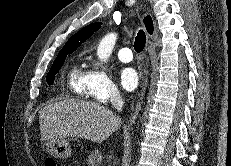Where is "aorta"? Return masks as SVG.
I'll list each match as a JSON object with an SVG mask.
<instances>
[{
    "label": "aorta",
    "instance_id": "1",
    "mask_svg": "<svg viewBox=\"0 0 231 166\" xmlns=\"http://www.w3.org/2000/svg\"><path fill=\"white\" fill-rule=\"evenodd\" d=\"M117 40L115 33L106 35L99 43L97 48V56L101 61H107L112 54L114 45Z\"/></svg>",
    "mask_w": 231,
    "mask_h": 166
}]
</instances>
